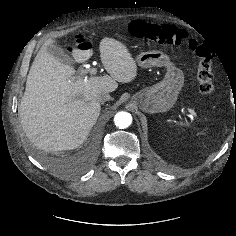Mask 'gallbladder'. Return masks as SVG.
Segmentation results:
<instances>
[{
  "instance_id": "bac80fb5",
  "label": "gallbladder",
  "mask_w": 236,
  "mask_h": 236,
  "mask_svg": "<svg viewBox=\"0 0 236 236\" xmlns=\"http://www.w3.org/2000/svg\"><path fill=\"white\" fill-rule=\"evenodd\" d=\"M48 51L55 58L59 59L62 63L67 64V65L74 64V60L68 54H66L65 51L61 47L52 44L48 46Z\"/></svg>"
}]
</instances>
